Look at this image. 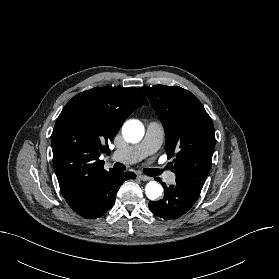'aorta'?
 I'll return each instance as SVG.
<instances>
[{
  "label": "aorta",
  "mask_w": 279,
  "mask_h": 279,
  "mask_svg": "<svg viewBox=\"0 0 279 279\" xmlns=\"http://www.w3.org/2000/svg\"><path fill=\"white\" fill-rule=\"evenodd\" d=\"M124 138L131 143H138L144 135V126L138 120H129L122 127ZM146 196L150 200H155L162 195L163 187L156 181H150L145 186Z\"/></svg>",
  "instance_id": "1"
}]
</instances>
